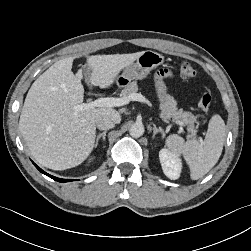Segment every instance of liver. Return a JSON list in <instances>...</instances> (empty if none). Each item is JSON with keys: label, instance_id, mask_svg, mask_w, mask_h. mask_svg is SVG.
I'll list each match as a JSON object with an SVG mask.
<instances>
[{"label": "liver", "instance_id": "liver-1", "mask_svg": "<svg viewBox=\"0 0 251 251\" xmlns=\"http://www.w3.org/2000/svg\"><path fill=\"white\" fill-rule=\"evenodd\" d=\"M142 52L87 57L91 70L89 82L109 88L126 66ZM75 57L62 59L49 67L30 87L19 120V129L31 155L42 166L65 170L80 165L92 152L96 120L108 115L119 123L112 108L75 111L81 105L84 88L82 72L71 71Z\"/></svg>", "mask_w": 251, "mask_h": 251}]
</instances>
